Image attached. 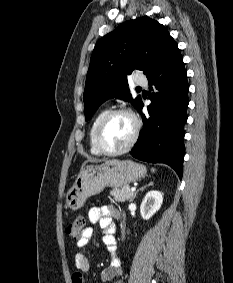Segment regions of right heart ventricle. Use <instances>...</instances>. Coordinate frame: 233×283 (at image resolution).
<instances>
[{
  "label": "right heart ventricle",
  "mask_w": 233,
  "mask_h": 283,
  "mask_svg": "<svg viewBox=\"0 0 233 283\" xmlns=\"http://www.w3.org/2000/svg\"><path fill=\"white\" fill-rule=\"evenodd\" d=\"M107 112H108L107 109L100 110L96 114V116L93 118V121H92L90 129H89V136H88V139H89V149H90L91 154H93L95 156L101 155V153L97 150V148L95 146V141H94L95 131H96V128H97L98 124L100 123V121L106 115Z\"/></svg>",
  "instance_id": "1"
}]
</instances>
